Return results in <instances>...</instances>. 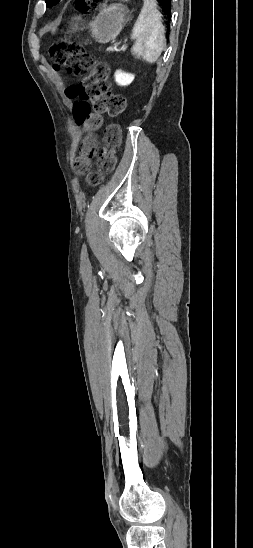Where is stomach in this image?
I'll list each match as a JSON object with an SVG mask.
<instances>
[{
  "instance_id": "1",
  "label": "stomach",
  "mask_w": 253,
  "mask_h": 548,
  "mask_svg": "<svg viewBox=\"0 0 253 548\" xmlns=\"http://www.w3.org/2000/svg\"><path fill=\"white\" fill-rule=\"evenodd\" d=\"M128 9L122 4H111L105 7L99 15L89 23L92 36L99 43L113 41L127 22ZM73 30L77 24L73 23Z\"/></svg>"
}]
</instances>
